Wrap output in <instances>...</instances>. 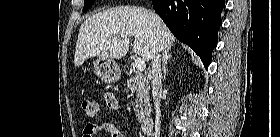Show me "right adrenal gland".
Returning <instances> with one entry per match:
<instances>
[{
  "mask_svg": "<svg viewBox=\"0 0 280 137\" xmlns=\"http://www.w3.org/2000/svg\"><path fill=\"white\" fill-rule=\"evenodd\" d=\"M172 57V54L170 53V49H165L163 51V57H162V68H163V78L166 76V65L167 61Z\"/></svg>",
  "mask_w": 280,
  "mask_h": 137,
  "instance_id": "1",
  "label": "right adrenal gland"
}]
</instances>
